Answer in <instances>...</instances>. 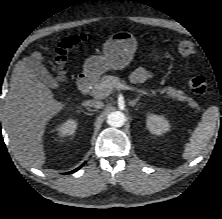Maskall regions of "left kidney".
Masks as SVG:
<instances>
[{
  "instance_id": "obj_1",
  "label": "left kidney",
  "mask_w": 222,
  "mask_h": 219,
  "mask_svg": "<svg viewBox=\"0 0 222 219\" xmlns=\"http://www.w3.org/2000/svg\"><path fill=\"white\" fill-rule=\"evenodd\" d=\"M149 131L154 135H162L170 130L169 121L161 115L150 114L146 120Z\"/></svg>"
}]
</instances>
